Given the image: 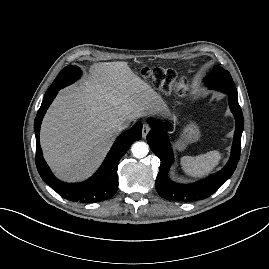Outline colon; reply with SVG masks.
<instances>
[{
  "label": "colon",
  "instance_id": "obj_1",
  "mask_svg": "<svg viewBox=\"0 0 269 269\" xmlns=\"http://www.w3.org/2000/svg\"><path fill=\"white\" fill-rule=\"evenodd\" d=\"M145 77L151 78L157 85L164 84L166 86L170 85L173 81V75L169 71L157 69L153 71L144 72ZM188 82L182 80L180 82V92L185 93Z\"/></svg>",
  "mask_w": 269,
  "mask_h": 269
}]
</instances>
